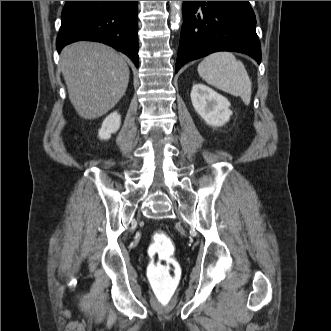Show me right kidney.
<instances>
[{"label":"right kidney","instance_id":"right-kidney-1","mask_svg":"<svg viewBox=\"0 0 331 331\" xmlns=\"http://www.w3.org/2000/svg\"><path fill=\"white\" fill-rule=\"evenodd\" d=\"M121 124V117L117 112H113L108 115L102 123L101 128L98 131V137L101 140H108L111 134L118 131Z\"/></svg>","mask_w":331,"mask_h":331}]
</instances>
